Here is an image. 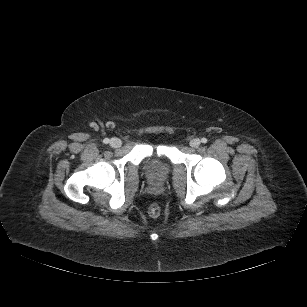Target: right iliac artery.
Segmentation results:
<instances>
[{"label":"right iliac artery","instance_id":"1","mask_svg":"<svg viewBox=\"0 0 307 307\" xmlns=\"http://www.w3.org/2000/svg\"><path fill=\"white\" fill-rule=\"evenodd\" d=\"M109 141H110V140H109L108 138H105V139L103 140V143H104V144H108Z\"/></svg>","mask_w":307,"mask_h":307}]
</instances>
